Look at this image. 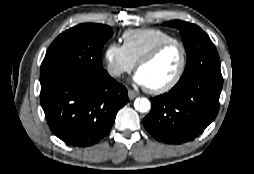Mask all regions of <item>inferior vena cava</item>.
Listing matches in <instances>:
<instances>
[{
  "instance_id": "602c4592",
  "label": "inferior vena cava",
  "mask_w": 254,
  "mask_h": 174,
  "mask_svg": "<svg viewBox=\"0 0 254 174\" xmlns=\"http://www.w3.org/2000/svg\"><path fill=\"white\" fill-rule=\"evenodd\" d=\"M111 74H112L113 76H120L121 71H120V70L115 69V70L111 71Z\"/></svg>"
}]
</instances>
